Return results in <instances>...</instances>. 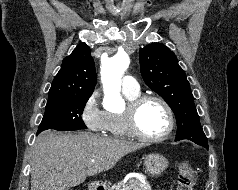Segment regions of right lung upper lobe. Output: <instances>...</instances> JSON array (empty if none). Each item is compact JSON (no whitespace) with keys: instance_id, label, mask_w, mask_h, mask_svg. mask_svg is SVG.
Here are the masks:
<instances>
[{"instance_id":"right-lung-upper-lobe-1","label":"right lung upper lobe","mask_w":238,"mask_h":190,"mask_svg":"<svg viewBox=\"0 0 238 190\" xmlns=\"http://www.w3.org/2000/svg\"><path fill=\"white\" fill-rule=\"evenodd\" d=\"M96 85V72L90 48L80 43L72 54L65 57L54 78L48 99L71 95H91Z\"/></svg>"}]
</instances>
